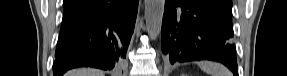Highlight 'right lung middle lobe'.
<instances>
[{
    "label": "right lung middle lobe",
    "mask_w": 287,
    "mask_h": 76,
    "mask_svg": "<svg viewBox=\"0 0 287 76\" xmlns=\"http://www.w3.org/2000/svg\"><path fill=\"white\" fill-rule=\"evenodd\" d=\"M78 2V0H64V9H68L70 7H72L73 5H75Z\"/></svg>",
    "instance_id": "right-lung-middle-lobe-1"
}]
</instances>
